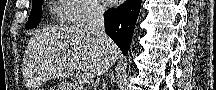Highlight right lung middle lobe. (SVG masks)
Returning a JSON list of instances; mask_svg holds the SVG:
<instances>
[{
  "label": "right lung middle lobe",
  "mask_w": 216,
  "mask_h": 90,
  "mask_svg": "<svg viewBox=\"0 0 216 90\" xmlns=\"http://www.w3.org/2000/svg\"><path fill=\"white\" fill-rule=\"evenodd\" d=\"M42 4H43V0H33L32 1V10H31L28 22L25 25L26 29L34 28L40 22Z\"/></svg>",
  "instance_id": "dd1d6c3e"
}]
</instances>
